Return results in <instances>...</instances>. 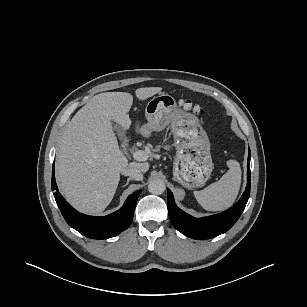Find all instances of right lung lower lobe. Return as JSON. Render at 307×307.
<instances>
[{
	"instance_id": "1",
	"label": "right lung lower lobe",
	"mask_w": 307,
	"mask_h": 307,
	"mask_svg": "<svg viewBox=\"0 0 307 307\" xmlns=\"http://www.w3.org/2000/svg\"><path fill=\"white\" fill-rule=\"evenodd\" d=\"M54 173L53 166L52 190H54L56 203L66 222L84 236L93 239L111 238L125 230L132 222L136 201L141 190L131 194L116 212L104 217H92L79 213L66 202L58 192Z\"/></svg>"
}]
</instances>
